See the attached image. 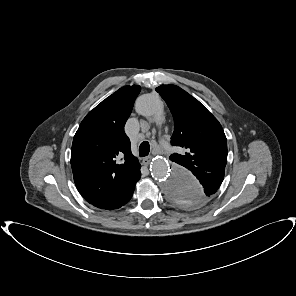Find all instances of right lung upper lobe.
Masks as SVG:
<instances>
[{
    "label": "right lung upper lobe",
    "instance_id": "1",
    "mask_svg": "<svg viewBox=\"0 0 296 296\" xmlns=\"http://www.w3.org/2000/svg\"><path fill=\"white\" fill-rule=\"evenodd\" d=\"M141 87L125 86L103 100L81 122L73 139L71 167L84 199L101 209H117L132 197L140 179L124 125Z\"/></svg>",
    "mask_w": 296,
    "mask_h": 296
}]
</instances>
